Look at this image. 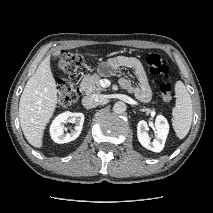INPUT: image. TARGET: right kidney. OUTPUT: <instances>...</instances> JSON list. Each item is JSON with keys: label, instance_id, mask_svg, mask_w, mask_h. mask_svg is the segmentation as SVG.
<instances>
[{"label": "right kidney", "instance_id": "1", "mask_svg": "<svg viewBox=\"0 0 213 213\" xmlns=\"http://www.w3.org/2000/svg\"><path fill=\"white\" fill-rule=\"evenodd\" d=\"M67 122L75 124V129L71 133H64V125ZM83 123V113L64 112L59 114L50 126V135L52 140L59 144L75 140L81 133Z\"/></svg>", "mask_w": 213, "mask_h": 213}]
</instances>
